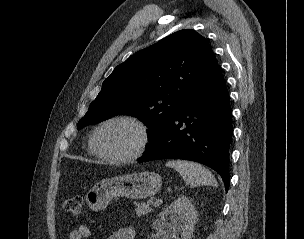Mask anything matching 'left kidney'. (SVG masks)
<instances>
[{"mask_svg": "<svg viewBox=\"0 0 304 239\" xmlns=\"http://www.w3.org/2000/svg\"><path fill=\"white\" fill-rule=\"evenodd\" d=\"M169 216L170 222L166 221ZM154 222V228L180 233L181 239H190L197 221V211L189 197L183 195L172 202Z\"/></svg>", "mask_w": 304, "mask_h": 239, "instance_id": "left-kidney-1", "label": "left kidney"}]
</instances>
